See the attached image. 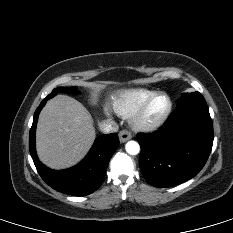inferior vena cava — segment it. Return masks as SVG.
<instances>
[{"label":"inferior vena cava","instance_id":"1","mask_svg":"<svg viewBox=\"0 0 233 233\" xmlns=\"http://www.w3.org/2000/svg\"><path fill=\"white\" fill-rule=\"evenodd\" d=\"M100 130L103 133H112V132H117L119 129L118 124L113 121V120H105L99 125Z\"/></svg>","mask_w":233,"mask_h":233}]
</instances>
